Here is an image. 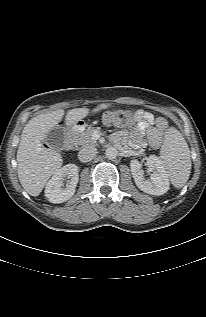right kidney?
Segmentation results:
<instances>
[{
  "mask_svg": "<svg viewBox=\"0 0 206 317\" xmlns=\"http://www.w3.org/2000/svg\"><path fill=\"white\" fill-rule=\"evenodd\" d=\"M65 180L67 184L64 187ZM78 180V167L75 164H67L55 172L48 181L45 196L51 203L65 202L74 195Z\"/></svg>",
  "mask_w": 206,
  "mask_h": 317,
  "instance_id": "obj_1",
  "label": "right kidney"
}]
</instances>
